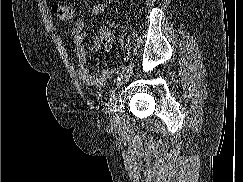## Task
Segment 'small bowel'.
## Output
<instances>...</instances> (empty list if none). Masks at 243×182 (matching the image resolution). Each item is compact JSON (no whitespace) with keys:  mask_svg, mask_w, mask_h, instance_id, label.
I'll use <instances>...</instances> for the list:
<instances>
[{"mask_svg":"<svg viewBox=\"0 0 243 182\" xmlns=\"http://www.w3.org/2000/svg\"><path fill=\"white\" fill-rule=\"evenodd\" d=\"M90 11L93 15L101 14L105 11V5L102 3L95 4L91 7ZM85 37V23L82 19H77L72 31L73 43L77 55V75L86 84L102 88L107 84L110 77V70L104 68L97 74L90 71L88 67V54L84 45ZM101 47H104L108 52L113 51V38L111 35L104 34L93 38V48L99 49Z\"/></svg>","mask_w":243,"mask_h":182,"instance_id":"obj_1","label":"small bowel"}]
</instances>
